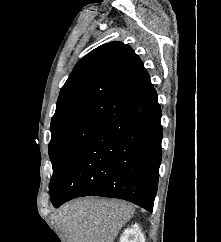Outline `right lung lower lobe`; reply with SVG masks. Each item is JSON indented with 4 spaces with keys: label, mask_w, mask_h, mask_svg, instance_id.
I'll list each match as a JSON object with an SVG mask.
<instances>
[{
    "label": "right lung lower lobe",
    "mask_w": 221,
    "mask_h": 242,
    "mask_svg": "<svg viewBox=\"0 0 221 242\" xmlns=\"http://www.w3.org/2000/svg\"><path fill=\"white\" fill-rule=\"evenodd\" d=\"M162 135L161 109L152 86L83 141L50 190L53 206L96 195L124 199L152 211Z\"/></svg>",
    "instance_id": "right-lung-lower-lobe-1"
}]
</instances>
